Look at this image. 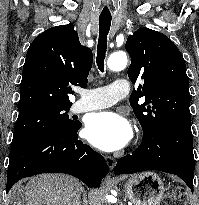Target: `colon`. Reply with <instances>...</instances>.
I'll return each mask as SVG.
<instances>
[{
    "mask_svg": "<svg viewBox=\"0 0 199 205\" xmlns=\"http://www.w3.org/2000/svg\"><path fill=\"white\" fill-rule=\"evenodd\" d=\"M185 201V190L183 188H177L172 195L164 197L160 205H182Z\"/></svg>",
    "mask_w": 199,
    "mask_h": 205,
    "instance_id": "5ec220e1",
    "label": "colon"
}]
</instances>
